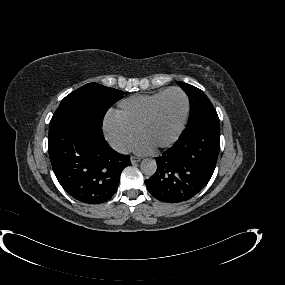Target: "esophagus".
Masks as SVG:
<instances>
[{"label": "esophagus", "instance_id": "esophagus-1", "mask_svg": "<svg viewBox=\"0 0 285 285\" xmlns=\"http://www.w3.org/2000/svg\"><path fill=\"white\" fill-rule=\"evenodd\" d=\"M130 160H131V163H132V164H135V163L140 162V161H141V158L136 157V156H131Z\"/></svg>", "mask_w": 285, "mask_h": 285}]
</instances>
